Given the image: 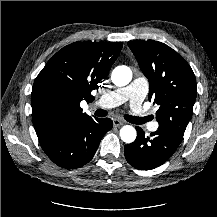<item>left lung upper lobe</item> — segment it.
<instances>
[{"label": "left lung upper lobe", "mask_w": 217, "mask_h": 217, "mask_svg": "<svg viewBox=\"0 0 217 217\" xmlns=\"http://www.w3.org/2000/svg\"><path fill=\"white\" fill-rule=\"evenodd\" d=\"M128 46L149 80V100L159 105V127L183 136L197 96L195 75L189 64L166 44L134 40Z\"/></svg>", "instance_id": "left-lung-upper-lobe-1"}]
</instances>
